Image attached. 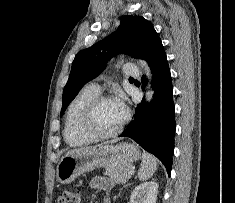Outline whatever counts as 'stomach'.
I'll return each instance as SVG.
<instances>
[{"label":"stomach","mask_w":235,"mask_h":203,"mask_svg":"<svg viewBox=\"0 0 235 203\" xmlns=\"http://www.w3.org/2000/svg\"><path fill=\"white\" fill-rule=\"evenodd\" d=\"M140 156V150L127 142L66 154L57 166V180L62 184H67L95 168L131 164Z\"/></svg>","instance_id":"stomach-1"}]
</instances>
